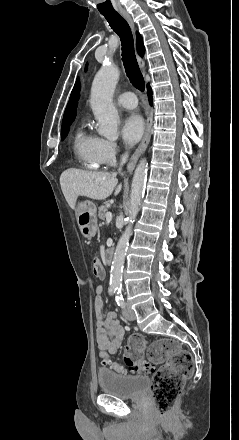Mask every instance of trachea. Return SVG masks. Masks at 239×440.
<instances>
[{
  "instance_id": "obj_1",
  "label": "trachea",
  "mask_w": 239,
  "mask_h": 440,
  "mask_svg": "<svg viewBox=\"0 0 239 440\" xmlns=\"http://www.w3.org/2000/svg\"><path fill=\"white\" fill-rule=\"evenodd\" d=\"M102 15H104L110 27L120 37L122 45V61L127 77L135 88L143 92L145 89V81L137 63L134 50V39L127 21L121 17L118 12H111Z\"/></svg>"
}]
</instances>
